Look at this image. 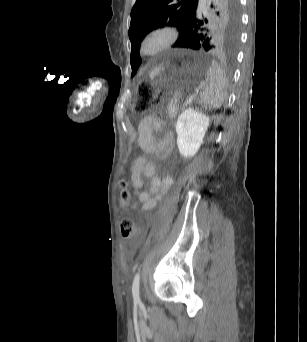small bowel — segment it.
I'll return each mask as SVG.
<instances>
[{"instance_id":"obj_1","label":"small bowel","mask_w":307,"mask_h":342,"mask_svg":"<svg viewBox=\"0 0 307 342\" xmlns=\"http://www.w3.org/2000/svg\"><path fill=\"white\" fill-rule=\"evenodd\" d=\"M164 132V122L153 115L145 116L138 126L137 141L145 155L139 156L131 166V183L135 188L143 186V176L150 179V188L139 194L143 211L152 210L161 198V194L171 185L172 178L166 174L163 180L156 176L155 164L148 161L147 155L166 158L174 145L173 134L164 132L161 139L155 138L156 133Z\"/></svg>"}]
</instances>
